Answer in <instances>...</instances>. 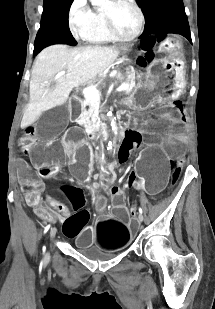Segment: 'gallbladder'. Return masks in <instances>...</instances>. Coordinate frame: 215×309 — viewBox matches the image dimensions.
<instances>
[{
	"label": "gallbladder",
	"mask_w": 215,
	"mask_h": 309,
	"mask_svg": "<svg viewBox=\"0 0 215 309\" xmlns=\"http://www.w3.org/2000/svg\"><path fill=\"white\" fill-rule=\"evenodd\" d=\"M67 104L56 103L55 109H49L47 113L42 114V119L39 121V125H35V132L37 136H45V138H51V136H57L63 131L65 122H68V115L66 108Z\"/></svg>",
	"instance_id": "1"
}]
</instances>
